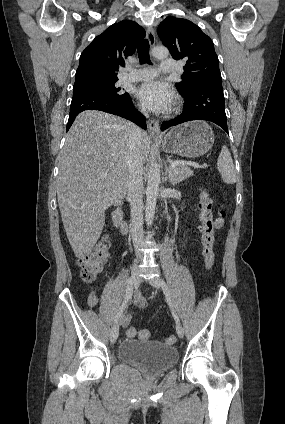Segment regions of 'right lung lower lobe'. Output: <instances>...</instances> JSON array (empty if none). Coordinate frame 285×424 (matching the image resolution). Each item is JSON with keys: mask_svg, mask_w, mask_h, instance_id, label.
<instances>
[{"mask_svg": "<svg viewBox=\"0 0 285 424\" xmlns=\"http://www.w3.org/2000/svg\"><path fill=\"white\" fill-rule=\"evenodd\" d=\"M85 110H100L118 115L146 129L145 118L133 107L130 96L125 99H117L98 94H78L73 95L71 101L67 131L75 120V117Z\"/></svg>", "mask_w": 285, "mask_h": 424, "instance_id": "98d812e1", "label": "right lung lower lobe"}]
</instances>
